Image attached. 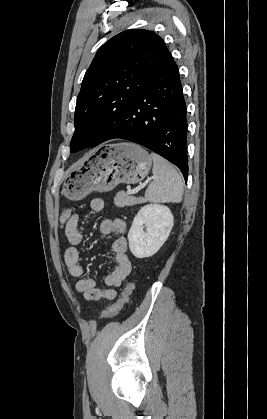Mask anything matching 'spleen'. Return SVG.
Listing matches in <instances>:
<instances>
[{
	"instance_id": "1",
	"label": "spleen",
	"mask_w": 267,
	"mask_h": 419,
	"mask_svg": "<svg viewBox=\"0 0 267 419\" xmlns=\"http://www.w3.org/2000/svg\"><path fill=\"white\" fill-rule=\"evenodd\" d=\"M153 181L145 191V201L153 203H180L183 196V182L180 174L167 160L152 152Z\"/></svg>"
}]
</instances>
